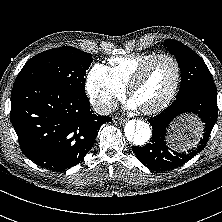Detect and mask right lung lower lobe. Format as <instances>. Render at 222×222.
<instances>
[{
	"instance_id": "right-lung-lower-lobe-1",
	"label": "right lung lower lobe",
	"mask_w": 222,
	"mask_h": 222,
	"mask_svg": "<svg viewBox=\"0 0 222 222\" xmlns=\"http://www.w3.org/2000/svg\"><path fill=\"white\" fill-rule=\"evenodd\" d=\"M10 120L27 158L64 171L84 158L111 117L95 115L85 93L30 81L14 84Z\"/></svg>"
}]
</instances>
